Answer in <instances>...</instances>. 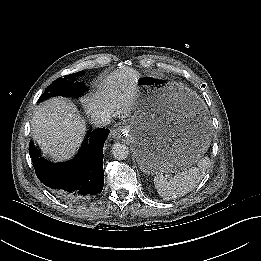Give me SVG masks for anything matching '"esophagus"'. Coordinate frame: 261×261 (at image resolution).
Here are the masks:
<instances>
[{
  "label": "esophagus",
  "instance_id": "esophagus-1",
  "mask_svg": "<svg viewBox=\"0 0 261 261\" xmlns=\"http://www.w3.org/2000/svg\"><path fill=\"white\" fill-rule=\"evenodd\" d=\"M120 133H121V132H120L119 130H118V131H114V132H113V135H114V136H116V135H121Z\"/></svg>",
  "mask_w": 261,
  "mask_h": 261
}]
</instances>
